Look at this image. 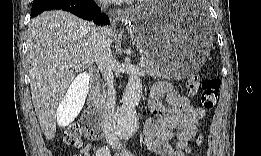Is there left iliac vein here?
Wrapping results in <instances>:
<instances>
[{
	"label": "left iliac vein",
	"instance_id": "left-iliac-vein-1",
	"mask_svg": "<svg viewBox=\"0 0 261 156\" xmlns=\"http://www.w3.org/2000/svg\"><path fill=\"white\" fill-rule=\"evenodd\" d=\"M114 148L119 150V149H121V145L119 143H116V144H114Z\"/></svg>",
	"mask_w": 261,
	"mask_h": 156
}]
</instances>
